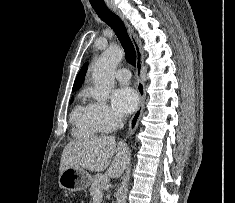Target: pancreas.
I'll use <instances>...</instances> for the list:
<instances>
[{
    "instance_id": "cf45deb5",
    "label": "pancreas",
    "mask_w": 235,
    "mask_h": 203,
    "mask_svg": "<svg viewBox=\"0 0 235 203\" xmlns=\"http://www.w3.org/2000/svg\"><path fill=\"white\" fill-rule=\"evenodd\" d=\"M109 180L105 174H96L92 179L90 195L94 196L96 191L102 190L108 184Z\"/></svg>"
}]
</instances>
